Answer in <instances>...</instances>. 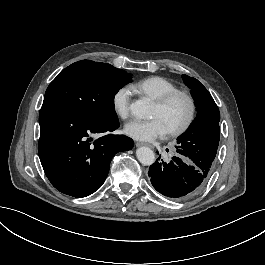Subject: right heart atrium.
<instances>
[{
  "instance_id": "1",
  "label": "right heart atrium",
  "mask_w": 265,
  "mask_h": 265,
  "mask_svg": "<svg viewBox=\"0 0 265 265\" xmlns=\"http://www.w3.org/2000/svg\"><path fill=\"white\" fill-rule=\"evenodd\" d=\"M131 98L132 95L126 87H119L115 93L111 95L109 102L113 106L115 115L120 122H128L131 114Z\"/></svg>"
}]
</instances>
